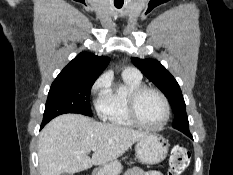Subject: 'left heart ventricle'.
<instances>
[{
  "mask_svg": "<svg viewBox=\"0 0 233 175\" xmlns=\"http://www.w3.org/2000/svg\"><path fill=\"white\" fill-rule=\"evenodd\" d=\"M137 112L140 120L150 126L160 124L165 116V109L161 98L151 91L145 92L139 98Z\"/></svg>",
  "mask_w": 233,
  "mask_h": 175,
  "instance_id": "left-heart-ventricle-1",
  "label": "left heart ventricle"
}]
</instances>
